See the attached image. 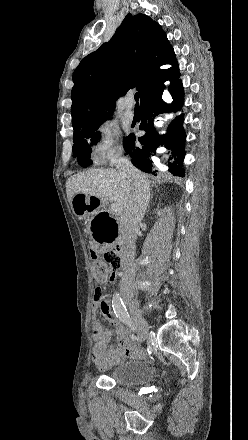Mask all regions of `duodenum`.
I'll use <instances>...</instances> for the list:
<instances>
[{
	"instance_id": "410a0bca",
	"label": "duodenum",
	"mask_w": 248,
	"mask_h": 440,
	"mask_svg": "<svg viewBox=\"0 0 248 440\" xmlns=\"http://www.w3.org/2000/svg\"><path fill=\"white\" fill-rule=\"evenodd\" d=\"M114 250L118 255L124 257V247H123V243L120 239H119V241H115ZM117 274L121 275V271L117 272Z\"/></svg>"
}]
</instances>
